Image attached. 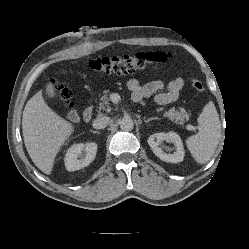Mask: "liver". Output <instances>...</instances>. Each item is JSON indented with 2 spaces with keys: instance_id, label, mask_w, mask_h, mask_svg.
Here are the masks:
<instances>
[{
  "instance_id": "liver-1",
  "label": "liver",
  "mask_w": 249,
  "mask_h": 249,
  "mask_svg": "<svg viewBox=\"0 0 249 249\" xmlns=\"http://www.w3.org/2000/svg\"><path fill=\"white\" fill-rule=\"evenodd\" d=\"M22 132L30 158L43 173L49 175L57 153L73 134L74 126L57 115L39 91L26 103Z\"/></svg>"
}]
</instances>
